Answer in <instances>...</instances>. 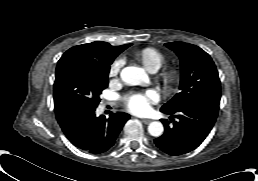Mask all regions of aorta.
Returning a JSON list of instances; mask_svg holds the SVG:
<instances>
[{
  "label": "aorta",
  "mask_w": 258,
  "mask_h": 181,
  "mask_svg": "<svg viewBox=\"0 0 258 181\" xmlns=\"http://www.w3.org/2000/svg\"><path fill=\"white\" fill-rule=\"evenodd\" d=\"M122 80L128 85H141L147 79V75L142 68L128 66L121 71ZM164 127L159 121H153L148 126V132L154 137H159L163 134Z\"/></svg>",
  "instance_id": "obj_1"
}]
</instances>
